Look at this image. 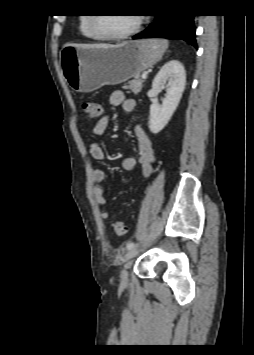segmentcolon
<instances>
[{"label":"colon","instance_id":"5ec220e1","mask_svg":"<svg viewBox=\"0 0 254 355\" xmlns=\"http://www.w3.org/2000/svg\"><path fill=\"white\" fill-rule=\"evenodd\" d=\"M82 109L90 121L98 119L102 112L101 105L92 101L83 102ZM113 230L116 235L123 236L127 233V225L121 220H116L113 223Z\"/></svg>","mask_w":254,"mask_h":355}]
</instances>
